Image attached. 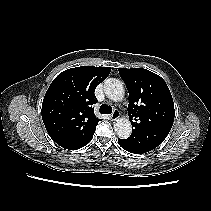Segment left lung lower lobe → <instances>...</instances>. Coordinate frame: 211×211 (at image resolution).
Instances as JSON below:
<instances>
[{"label":"left lung lower lobe","mask_w":211,"mask_h":211,"mask_svg":"<svg viewBox=\"0 0 211 211\" xmlns=\"http://www.w3.org/2000/svg\"><path fill=\"white\" fill-rule=\"evenodd\" d=\"M119 145L126 151L135 154H142L148 152L146 149H133L129 147L123 139H118Z\"/></svg>","instance_id":"obj_1"}]
</instances>
